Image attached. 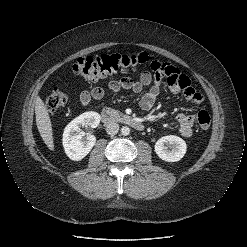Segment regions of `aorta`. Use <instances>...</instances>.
<instances>
[{
    "label": "aorta",
    "instance_id": "obj_1",
    "mask_svg": "<svg viewBox=\"0 0 247 247\" xmlns=\"http://www.w3.org/2000/svg\"><path fill=\"white\" fill-rule=\"evenodd\" d=\"M121 134L124 135V136L129 135V134H130V128L127 127V126H123V127L121 128Z\"/></svg>",
    "mask_w": 247,
    "mask_h": 247
}]
</instances>
